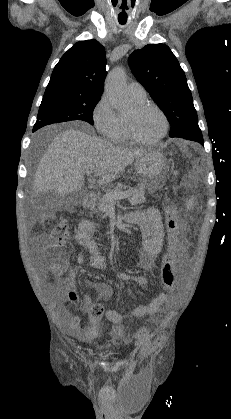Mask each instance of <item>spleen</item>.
Instances as JSON below:
<instances>
[{"label":"spleen","mask_w":231,"mask_h":419,"mask_svg":"<svg viewBox=\"0 0 231 419\" xmlns=\"http://www.w3.org/2000/svg\"><path fill=\"white\" fill-rule=\"evenodd\" d=\"M191 206H192V200H188L187 201V208L189 209V208H191Z\"/></svg>","instance_id":"3e777b00"}]
</instances>
